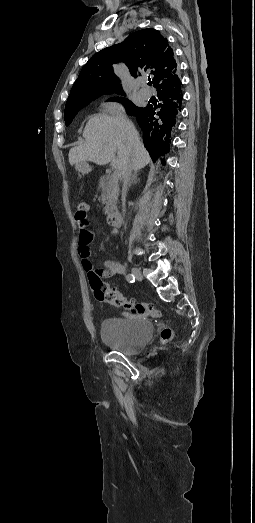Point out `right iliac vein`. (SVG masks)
Masks as SVG:
<instances>
[{"label": "right iliac vein", "instance_id": "obj_1", "mask_svg": "<svg viewBox=\"0 0 255 523\" xmlns=\"http://www.w3.org/2000/svg\"><path fill=\"white\" fill-rule=\"evenodd\" d=\"M132 273H133V275L135 276V278L137 280L141 281L143 279L142 273H141V271L138 268L133 267L132 268Z\"/></svg>", "mask_w": 255, "mask_h": 523}]
</instances>
